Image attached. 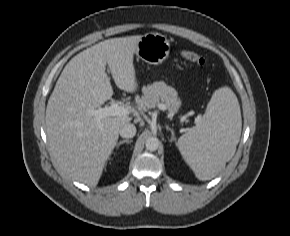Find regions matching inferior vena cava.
Wrapping results in <instances>:
<instances>
[{"label": "inferior vena cava", "mask_w": 290, "mask_h": 236, "mask_svg": "<svg viewBox=\"0 0 290 236\" xmlns=\"http://www.w3.org/2000/svg\"><path fill=\"white\" fill-rule=\"evenodd\" d=\"M119 133L123 138H132L136 134V127L131 123H125L120 127Z\"/></svg>", "instance_id": "602c4592"}]
</instances>
